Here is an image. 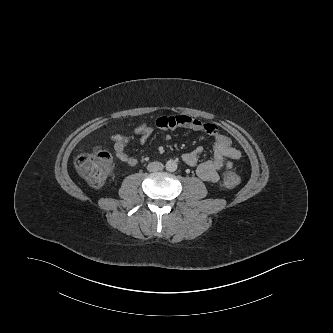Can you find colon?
Returning <instances> with one entry per match:
<instances>
[{"label": "colon", "mask_w": 333, "mask_h": 333, "mask_svg": "<svg viewBox=\"0 0 333 333\" xmlns=\"http://www.w3.org/2000/svg\"><path fill=\"white\" fill-rule=\"evenodd\" d=\"M77 172L93 187L104 184L112 169V156L103 149L83 153L75 160ZM240 177L234 171L227 172L223 177V185L227 188L236 187Z\"/></svg>", "instance_id": "5ec220e1"}]
</instances>
